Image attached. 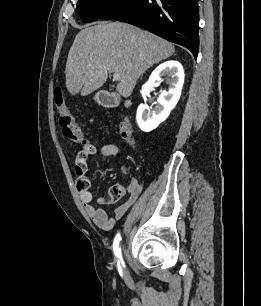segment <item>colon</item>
<instances>
[{
  "label": "colon",
  "mask_w": 261,
  "mask_h": 306,
  "mask_svg": "<svg viewBox=\"0 0 261 306\" xmlns=\"http://www.w3.org/2000/svg\"><path fill=\"white\" fill-rule=\"evenodd\" d=\"M54 104L58 121L63 134L75 143L81 144V148L78 152L77 159L83 160L89 158L93 153V145L83 139L81 130L77 125L74 116L65 104L63 92L60 88L54 90ZM120 132L122 137L133 144V133L132 129L126 122L121 123ZM78 189L88 187L87 182H78ZM122 196V190L119 187H112L110 190L99 198V202L102 205H109L116 202Z\"/></svg>",
  "instance_id": "obj_1"
}]
</instances>
